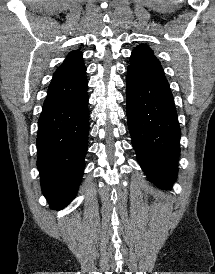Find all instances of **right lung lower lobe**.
I'll list each match as a JSON object with an SVG mask.
<instances>
[{
  "label": "right lung lower lobe",
  "instance_id": "obj_1",
  "mask_svg": "<svg viewBox=\"0 0 215 274\" xmlns=\"http://www.w3.org/2000/svg\"><path fill=\"white\" fill-rule=\"evenodd\" d=\"M89 132L87 83L58 104L43 107L38 121L37 167L52 209H63L81 182Z\"/></svg>",
  "mask_w": 215,
  "mask_h": 274
}]
</instances>
